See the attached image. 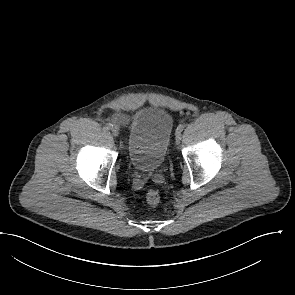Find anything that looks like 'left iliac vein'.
Returning <instances> with one entry per match:
<instances>
[{"instance_id":"1","label":"left iliac vein","mask_w":295,"mask_h":295,"mask_svg":"<svg viewBox=\"0 0 295 295\" xmlns=\"http://www.w3.org/2000/svg\"><path fill=\"white\" fill-rule=\"evenodd\" d=\"M175 140H176V143H177V144L180 143V140H181V132L176 131V134H175Z\"/></svg>"}]
</instances>
